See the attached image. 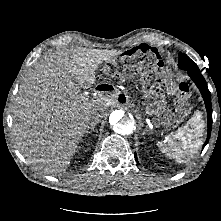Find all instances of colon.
Listing matches in <instances>:
<instances>
[{
  "mask_svg": "<svg viewBox=\"0 0 221 221\" xmlns=\"http://www.w3.org/2000/svg\"><path fill=\"white\" fill-rule=\"evenodd\" d=\"M152 50L147 46H140L137 49H134L130 52V54L125 57H122L117 63L111 64L106 67V74L109 77H118L122 75L129 74L130 71L128 69L129 63H134L137 61L140 63V68L145 69L152 66V62L155 59ZM188 92V88L186 84H180L177 88V93L180 98L176 102V109L178 112H185L186 105L184 103V98L186 97Z\"/></svg>",
  "mask_w": 221,
  "mask_h": 221,
  "instance_id": "1",
  "label": "colon"
}]
</instances>
